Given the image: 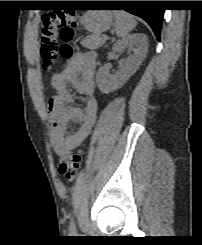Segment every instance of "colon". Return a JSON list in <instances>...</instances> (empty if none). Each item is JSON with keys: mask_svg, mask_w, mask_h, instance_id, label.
Instances as JSON below:
<instances>
[{"mask_svg": "<svg viewBox=\"0 0 202 245\" xmlns=\"http://www.w3.org/2000/svg\"><path fill=\"white\" fill-rule=\"evenodd\" d=\"M73 35L74 22L70 13H50L42 17L40 56L45 70L51 69L59 55L67 60L73 56L70 45ZM81 161L80 149L60 155V175L73 181L79 172Z\"/></svg>", "mask_w": 202, "mask_h": 245, "instance_id": "colon-1", "label": "colon"}]
</instances>
